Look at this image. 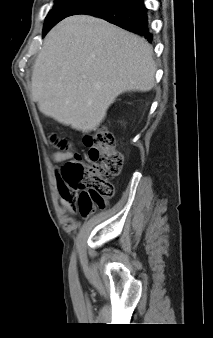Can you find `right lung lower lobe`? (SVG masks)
Here are the masks:
<instances>
[{"instance_id":"98d812e1","label":"right lung lower lobe","mask_w":213,"mask_h":338,"mask_svg":"<svg viewBox=\"0 0 213 338\" xmlns=\"http://www.w3.org/2000/svg\"><path fill=\"white\" fill-rule=\"evenodd\" d=\"M87 14L102 18L121 28L152 41L147 8L143 0H92L78 7L71 15Z\"/></svg>"}]
</instances>
